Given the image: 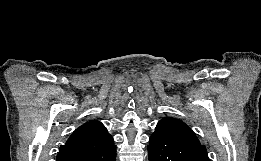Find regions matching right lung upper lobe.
Here are the masks:
<instances>
[{"label": "right lung upper lobe", "instance_id": "right-lung-upper-lobe-1", "mask_svg": "<svg viewBox=\"0 0 261 161\" xmlns=\"http://www.w3.org/2000/svg\"><path fill=\"white\" fill-rule=\"evenodd\" d=\"M112 142L113 138L103 124L92 120L73 132L66 144L60 147L57 160L70 155L98 151Z\"/></svg>", "mask_w": 261, "mask_h": 161}]
</instances>
